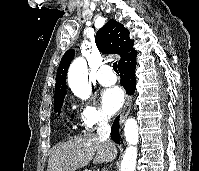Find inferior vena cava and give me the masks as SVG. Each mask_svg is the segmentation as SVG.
<instances>
[{"mask_svg": "<svg viewBox=\"0 0 199 171\" xmlns=\"http://www.w3.org/2000/svg\"><path fill=\"white\" fill-rule=\"evenodd\" d=\"M111 126L108 119L104 116L100 117L97 134L101 140L107 141L110 137Z\"/></svg>", "mask_w": 199, "mask_h": 171, "instance_id": "602c4592", "label": "inferior vena cava"}]
</instances>
